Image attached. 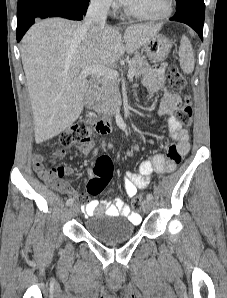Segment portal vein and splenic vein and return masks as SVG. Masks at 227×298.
Here are the masks:
<instances>
[{
    "label": "portal vein and splenic vein",
    "mask_w": 227,
    "mask_h": 298,
    "mask_svg": "<svg viewBox=\"0 0 227 298\" xmlns=\"http://www.w3.org/2000/svg\"><path fill=\"white\" fill-rule=\"evenodd\" d=\"M89 75L103 77V78L110 79V80H117V78H119L118 71L108 68V67L95 66V65L84 69L80 73L79 77L86 78ZM134 75H135V70L129 69L128 74H127L128 79H132L134 77Z\"/></svg>",
    "instance_id": "obj_1"
}]
</instances>
